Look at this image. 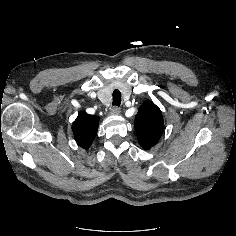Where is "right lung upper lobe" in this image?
Here are the masks:
<instances>
[{
    "instance_id": "obj_1",
    "label": "right lung upper lobe",
    "mask_w": 236,
    "mask_h": 236,
    "mask_svg": "<svg viewBox=\"0 0 236 236\" xmlns=\"http://www.w3.org/2000/svg\"><path fill=\"white\" fill-rule=\"evenodd\" d=\"M99 117L81 112L72 125L73 134L77 143L88 148L93 142L98 128Z\"/></svg>"
}]
</instances>
